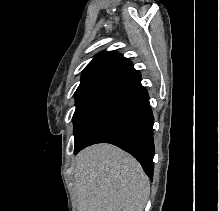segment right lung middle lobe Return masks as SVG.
I'll return each instance as SVG.
<instances>
[{
	"label": "right lung middle lobe",
	"instance_id": "obj_1",
	"mask_svg": "<svg viewBox=\"0 0 219 211\" xmlns=\"http://www.w3.org/2000/svg\"><path fill=\"white\" fill-rule=\"evenodd\" d=\"M109 91L110 89H99L75 96L76 109L73 115L75 140Z\"/></svg>",
	"mask_w": 219,
	"mask_h": 211
}]
</instances>
